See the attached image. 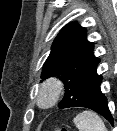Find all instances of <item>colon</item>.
I'll return each instance as SVG.
<instances>
[{
    "instance_id": "5ec220e1",
    "label": "colon",
    "mask_w": 117,
    "mask_h": 131,
    "mask_svg": "<svg viewBox=\"0 0 117 131\" xmlns=\"http://www.w3.org/2000/svg\"><path fill=\"white\" fill-rule=\"evenodd\" d=\"M50 131H69L66 127H55L54 129L50 130Z\"/></svg>"
}]
</instances>
